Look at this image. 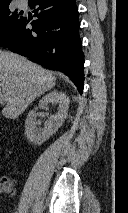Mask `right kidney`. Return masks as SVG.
<instances>
[{
    "instance_id": "1",
    "label": "right kidney",
    "mask_w": 128,
    "mask_h": 213,
    "mask_svg": "<svg viewBox=\"0 0 128 213\" xmlns=\"http://www.w3.org/2000/svg\"><path fill=\"white\" fill-rule=\"evenodd\" d=\"M49 103L58 104V112L51 115L44 124L42 130L36 127V111L46 109ZM69 97L62 91H51L39 101L38 106L31 110L25 121V135L27 139L35 144L41 145L48 140L62 125L68 114Z\"/></svg>"
}]
</instances>
